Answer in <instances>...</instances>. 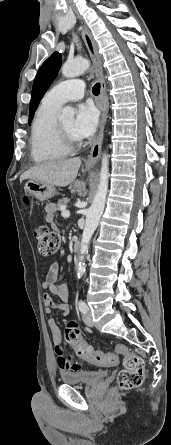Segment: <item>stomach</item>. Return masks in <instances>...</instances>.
I'll return each instance as SVG.
<instances>
[{"mask_svg":"<svg viewBox=\"0 0 171 445\" xmlns=\"http://www.w3.org/2000/svg\"><path fill=\"white\" fill-rule=\"evenodd\" d=\"M24 192L28 197H34L39 201L50 199L56 193L53 185L38 180H29L24 184Z\"/></svg>","mask_w":171,"mask_h":445,"instance_id":"stomach-1","label":"stomach"}]
</instances>
